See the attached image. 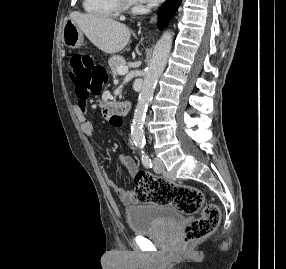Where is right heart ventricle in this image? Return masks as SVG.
Returning a JSON list of instances; mask_svg holds the SVG:
<instances>
[{"mask_svg": "<svg viewBox=\"0 0 286 269\" xmlns=\"http://www.w3.org/2000/svg\"><path fill=\"white\" fill-rule=\"evenodd\" d=\"M82 6L87 14L102 19L116 18L120 12L116 0H83Z\"/></svg>", "mask_w": 286, "mask_h": 269, "instance_id": "right-heart-ventricle-1", "label": "right heart ventricle"}]
</instances>
